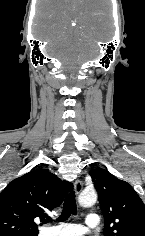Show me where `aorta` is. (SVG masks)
Instances as JSON below:
<instances>
[{
    "label": "aorta",
    "instance_id": "762f6f07",
    "mask_svg": "<svg viewBox=\"0 0 145 236\" xmlns=\"http://www.w3.org/2000/svg\"><path fill=\"white\" fill-rule=\"evenodd\" d=\"M79 204L84 207L92 206L97 201V194L94 190H84L78 198Z\"/></svg>",
    "mask_w": 145,
    "mask_h": 236
}]
</instances>
